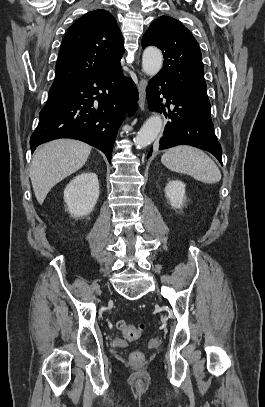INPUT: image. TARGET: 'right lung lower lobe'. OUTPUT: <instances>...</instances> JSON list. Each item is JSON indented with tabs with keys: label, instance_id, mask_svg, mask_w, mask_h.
<instances>
[{
	"label": "right lung lower lobe",
	"instance_id": "right-lung-lower-lobe-1",
	"mask_svg": "<svg viewBox=\"0 0 265 407\" xmlns=\"http://www.w3.org/2000/svg\"><path fill=\"white\" fill-rule=\"evenodd\" d=\"M138 92L121 66L96 73L63 92L48 96L30 138L34 151L42 143L74 138L101 150L109 162L124 112L137 109Z\"/></svg>",
	"mask_w": 265,
	"mask_h": 407
}]
</instances>
